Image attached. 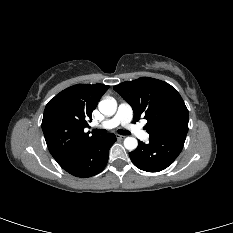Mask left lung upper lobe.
I'll use <instances>...</instances> for the list:
<instances>
[{"label":"left lung upper lobe","mask_w":233,"mask_h":233,"mask_svg":"<svg viewBox=\"0 0 233 233\" xmlns=\"http://www.w3.org/2000/svg\"><path fill=\"white\" fill-rule=\"evenodd\" d=\"M133 108L136 122L140 117L148 120L144 127L150 139L186 138L188 110L177 90L170 84L142 77L114 86Z\"/></svg>","instance_id":"obj_1"}]
</instances>
